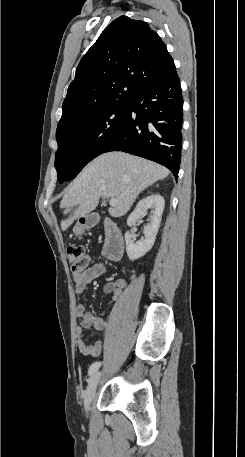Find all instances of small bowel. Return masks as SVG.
<instances>
[{
    "mask_svg": "<svg viewBox=\"0 0 245 457\" xmlns=\"http://www.w3.org/2000/svg\"><path fill=\"white\" fill-rule=\"evenodd\" d=\"M107 270V267L103 263H97L93 266L85 269L84 271H73V280L76 284L77 293H82L86 286L94 280L101 277ZM133 272V276H134ZM126 282L123 279H118L107 283L104 286V293L112 295L117 300L122 290L125 288ZM79 324L76 327V344L79 352L86 356L98 357L103 352L120 350L123 348L125 343L124 334L112 327H108L105 330L103 339L96 341L94 344L89 345L85 341L86 333L89 331H100L105 327L103 319L97 315L85 311L82 304H79L76 309Z\"/></svg>",
    "mask_w": 245,
    "mask_h": 457,
    "instance_id": "1",
    "label": "small bowel"
}]
</instances>
